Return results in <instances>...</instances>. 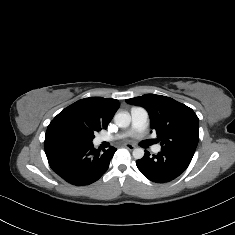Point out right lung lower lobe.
I'll use <instances>...</instances> for the list:
<instances>
[{"mask_svg":"<svg viewBox=\"0 0 235 235\" xmlns=\"http://www.w3.org/2000/svg\"><path fill=\"white\" fill-rule=\"evenodd\" d=\"M45 153L52 170L66 182L83 186L97 181L108 169L115 147L100 152L92 142L69 141L62 133L45 138Z\"/></svg>","mask_w":235,"mask_h":235,"instance_id":"right-lung-lower-lobe-1","label":"right lung lower lobe"}]
</instances>
